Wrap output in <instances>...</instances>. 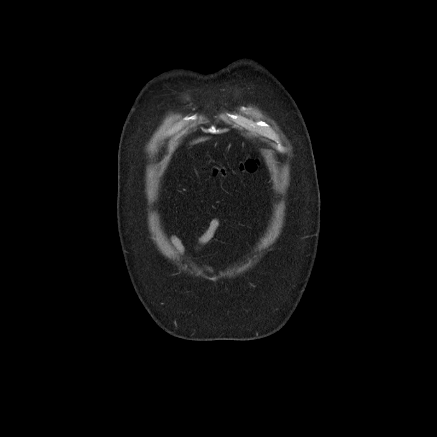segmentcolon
Listing matches in <instances>:
<instances>
[{
	"label": "colon",
	"mask_w": 437,
	"mask_h": 437,
	"mask_svg": "<svg viewBox=\"0 0 437 437\" xmlns=\"http://www.w3.org/2000/svg\"><path fill=\"white\" fill-rule=\"evenodd\" d=\"M242 167L243 168H245L246 170H249V171H252V170H254L255 168H256V163H255V161L254 160H252V159H249V160H246L243 164H242ZM216 171L217 172H221V171H223V170H221V169H216Z\"/></svg>",
	"instance_id": "obj_1"
}]
</instances>
